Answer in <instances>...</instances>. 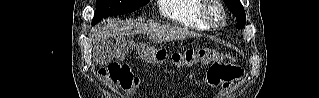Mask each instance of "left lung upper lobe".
Here are the masks:
<instances>
[{
    "label": "left lung upper lobe",
    "mask_w": 319,
    "mask_h": 98,
    "mask_svg": "<svg viewBox=\"0 0 319 98\" xmlns=\"http://www.w3.org/2000/svg\"><path fill=\"white\" fill-rule=\"evenodd\" d=\"M228 9L236 16L237 28L242 29L246 22V15L240 0H224Z\"/></svg>",
    "instance_id": "1"
}]
</instances>
